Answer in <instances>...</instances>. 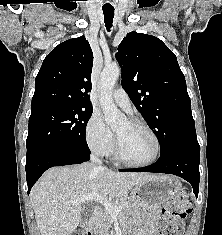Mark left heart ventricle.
<instances>
[{"label": "left heart ventricle", "mask_w": 222, "mask_h": 235, "mask_svg": "<svg viewBox=\"0 0 222 235\" xmlns=\"http://www.w3.org/2000/svg\"><path fill=\"white\" fill-rule=\"evenodd\" d=\"M124 155L134 162H146L156 153V142L151 134L141 128L133 127L128 121L116 129Z\"/></svg>", "instance_id": "1"}]
</instances>
